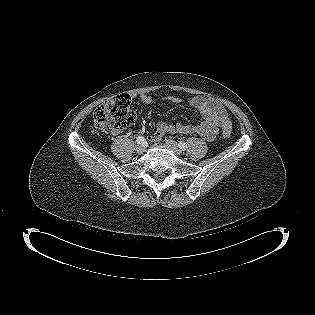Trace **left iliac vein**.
I'll return each instance as SVG.
<instances>
[{
  "label": "left iliac vein",
  "mask_w": 315,
  "mask_h": 315,
  "mask_svg": "<svg viewBox=\"0 0 315 315\" xmlns=\"http://www.w3.org/2000/svg\"><path fill=\"white\" fill-rule=\"evenodd\" d=\"M165 143L166 146L171 149L176 155H181L182 150L174 140L167 139Z\"/></svg>",
  "instance_id": "left-iliac-vein-1"
}]
</instances>
